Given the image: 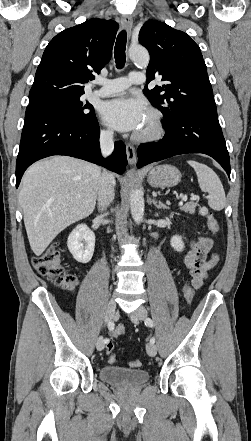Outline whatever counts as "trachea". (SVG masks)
Wrapping results in <instances>:
<instances>
[{
	"mask_svg": "<svg viewBox=\"0 0 251 441\" xmlns=\"http://www.w3.org/2000/svg\"><path fill=\"white\" fill-rule=\"evenodd\" d=\"M126 41H127L126 31L122 30L117 36L115 47H114L115 63H116V67L118 69H122L125 64Z\"/></svg>",
	"mask_w": 251,
	"mask_h": 441,
	"instance_id": "trachea-1",
	"label": "trachea"
}]
</instances>
